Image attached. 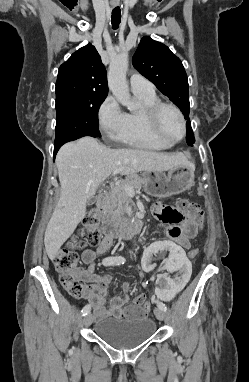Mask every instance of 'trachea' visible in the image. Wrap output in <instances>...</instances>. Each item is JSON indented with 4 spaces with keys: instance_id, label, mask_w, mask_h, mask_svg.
<instances>
[{
    "instance_id": "obj_1",
    "label": "trachea",
    "mask_w": 249,
    "mask_h": 382,
    "mask_svg": "<svg viewBox=\"0 0 249 382\" xmlns=\"http://www.w3.org/2000/svg\"><path fill=\"white\" fill-rule=\"evenodd\" d=\"M121 21V10L119 7H115L112 10L111 23L113 29H117L119 27Z\"/></svg>"
}]
</instances>
